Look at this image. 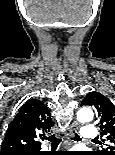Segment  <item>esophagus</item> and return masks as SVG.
Segmentation results:
<instances>
[{"mask_svg":"<svg viewBox=\"0 0 115 155\" xmlns=\"http://www.w3.org/2000/svg\"><path fill=\"white\" fill-rule=\"evenodd\" d=\"M79 128V124L77 121H74L72 124H71V127L69 129V137L72 138L74 137V134L77 132Z\"/></svg>","mask_w":115,"mask_h":155,"instance_id":"obj_1","label":"esophagus"}]
</instances>
